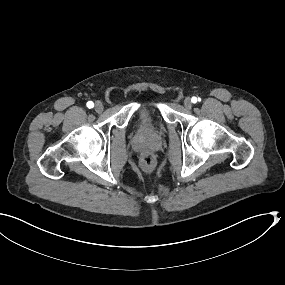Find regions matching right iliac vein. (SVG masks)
Instances as JSON below:
<instances>
[{
  "label": "right iliac vein",
  "instance_id": "right-iliac-vein-1",
  "mask_svg": "<svg viewBox=\"0 0 285 285\" xmlns=\"http://www.w3.org/2000/svg\"><path fill=\"white\" fill-rule=\"evenodd\" d=\"M95 110H96V112L101 113L104 110L103 104L101 102H99V101L96 102Z\"/></svg>",
  "mask_w": 285,
  "mask_h": 285
}]
</instances>
